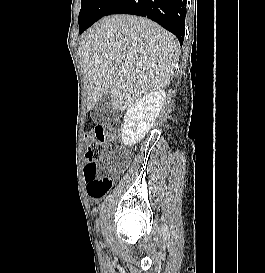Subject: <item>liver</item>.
I'll return each mask as SVG.
<instances>
[{
	"instance_id": "1",
	"label": "liver",
	"mask_w": 265,
	"mask_h": 273,
	"mask_svg": "<svg viewBox=\"0 0 265 273\" xmlns=\"http://www.w3.org/2000/svg\"><path fill=\"white\" fill-rule=\"evenodd\" d=\"M78 54L87 109L109 94L113 108L124 111L143 96L169 85L179 44L174 35L147 18L111 15L86 33Z\"/></svg>"
}]
</instances>
